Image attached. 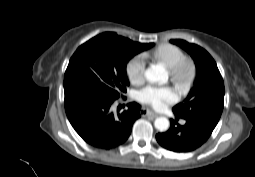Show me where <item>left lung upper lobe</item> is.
<instances>
[{"instance_id": "left-lung-upper-lobe-1", "label": "left lung upper lobe", "mask_w": 255, "mask_h": 177, "mask_svg": "<svg viewBox=\"0 0 255 177\" xmlns=\"http://www.w3.org/2000/svg\"><path fill=\"white\" fill-rule=\"evenodd\" d=\"M193 58L196 66L194 86L184 102L173 107L181 118L216 126L224 106V83L211 55L202 47L184 40H170Z\"/></svg>"}]
</instances>
